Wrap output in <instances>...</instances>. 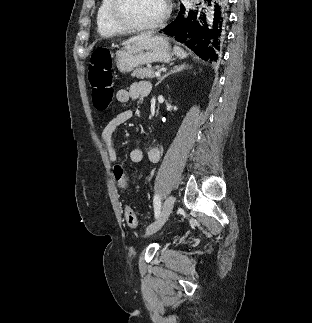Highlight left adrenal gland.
<instances>
[{
  "label": "left adrenal gland",
  "mask_w": 312,
  "mask_h": 323,
  "mask_svg": "<svg viewBox=\"0 0 312 323\" xmlns=\"http://www.w3.org/2000/svg\"><path fill=\"white\" fill-rule=\"evenodd\" d=\"M187 66L186 64H181V66H174L173 70H171V72H169V74H164V76H162V78H159L157 84H155V86H158V84H161V82H163V80H165V78H167V76H170V74H174V72H181V70H186Z\"/></svg>",
  "instance_id": "obj_1"
}]
</instances>
